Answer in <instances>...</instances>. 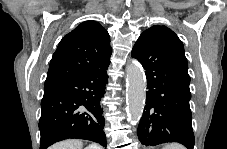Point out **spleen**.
Masks as SVG:
<instances>
[{
	"label": "spleen",
	"instance_id": "spleen-1",
	"mask_svg": "<svg viewBox=\"0 0 227 149\" xmlns=\"http://www.w3.org/2000/svg\"><path fill=\"white\" fill-rule=\"evenodd\" d=\"M163 149H185V148L182 145H179L177 143H172V144L165 145Z\"/></svg>",
	"mask_w": 227,
	"mask_h": 149
}]
</instances>
